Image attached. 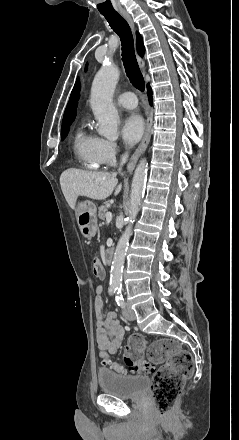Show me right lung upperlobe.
I'll return each mask as SVG.
<instances>
[{
  "instance_id": "obj_1",
  "label": "right lung upper lobe",
  "mask_w": 239,
  "mask_h": 440,
  "mask_svg": "<svg viewBox=\"0 0 239 440\" xmlns=\"http://www.w3.org/2000/svg\"><path fill=\"white\" fill-rule=\"evenodd\" d=\"M136 41H137V51L140 56H143V54L145 52V47L143 45L142 36L138 32H136ZM79 90H80V85H79V82L77 81L73 90H72L69 102H68L67 107L65 109V113H64V117H63V121H62V127L72 123L73 120L75 119L77 100L79 98Z\"/></svg>"
}]
</instances>
